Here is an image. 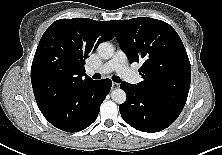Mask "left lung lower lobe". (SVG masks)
Segmentation results:
<instances>
[{
  "instance_id": "left-lung-lower-lobe-1",
  "label": "left lung lower lobe",
  "mask_w": 222,
  "mask_h": 155,
  "mask_svg": "<svg viewBox=\"0 0 222 155\" xmlns=\"http://www.w3.org/2000/svg\"><path fill=\"white\" fill-rule=\"evenodd\" d=\"M127 98L119 105L123 120L133 128L148 133L161 131L170 126L184 106L144 93L134 84L120 85Z\"/></svg>"
}]
</instances>
